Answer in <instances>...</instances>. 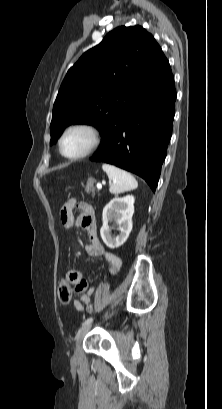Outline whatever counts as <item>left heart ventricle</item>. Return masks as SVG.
I'll list each match as a JSON object with an SVG mask.
<instances>
[{"label":"left heart ventricle","mask_w":222,"mask_h":409,"mask_svg":"<svg viewBox=\"0 0 222 409\" xmlns=\"http://www.w3.org/2000/svg\"><path fill=\"white\" fill-rule=\"evenodd\" d=\"M91 136L87 131L74 130L63 141V151L67 155H77L83 152L90 144Z\"/></svg>","instance_id":"obj_1"}]
</instances>
